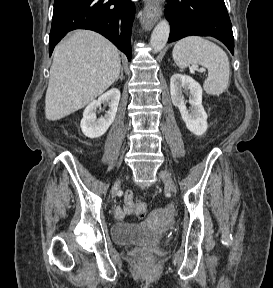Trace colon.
<instances>
[{
    "mask_svg": "<svg viewBox=\"0 0 273 288\" xmlns=\"http://www.w3.org/2000/svg\"><path fill=\"white\" fill-rule=\"evenodd\" d=\"M132 209L136 215L142 216L146 213L147 205H146L145 201H143L141 199H136L132 203ZM142 258L148 262L152 261V258L147 254H143Z\"/></svg>",
    "mask_w": 273,
    "mask_h": 288,
    "instance_id": "obj_1",
    "label": "colon"
}]
</instances>
